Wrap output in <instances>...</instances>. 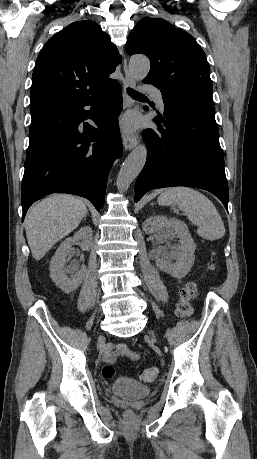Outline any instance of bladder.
Wrapping results in <instances>:
<instances>
[{"mask_svg":"<svg viewBox=\"0 0 257 459\" xmlns=\"http://www.w3.org/2000/svg\"><path fill=\"white\" fill-rule=\"evenodd\" d=\"M111 393L124 397L130 400L148 397L152 393V389L135 380L127 378H119L111 387Z\"/></svg>","mask_w":257,"mask_h":459,"instance_id":"obj_1","label":"bladder"}]
</instances>
